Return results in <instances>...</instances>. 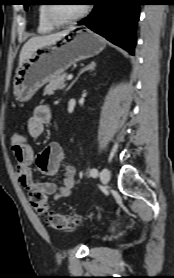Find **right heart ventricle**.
<instances>
[{
  "instance_id": "obj_1",
  "label": "right heart ventricle",
  "mask_w": 174,
  "mask_h": 278,
  "mask_svg": "<svg viewBox=\"0 0 174 278\" xmlns=\"http://www.w3.org/2000/svg\"><path fill=\"white\" fill-rule=\"evenodd\" d=\"M45 10V4L40 5L38 8V31L40 33H50L56 28L48 21Z\"/></svg>"
}]
</instances>
